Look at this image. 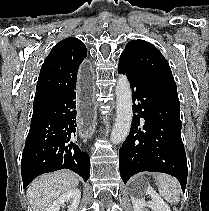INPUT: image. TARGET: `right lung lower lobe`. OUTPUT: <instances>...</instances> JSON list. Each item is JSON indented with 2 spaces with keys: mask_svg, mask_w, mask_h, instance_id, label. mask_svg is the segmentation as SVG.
<instances>
[{
  "mask_svg": "<svg viewBox=\"0 0 209 211\" xmlns=\"http://www.w3.org/2000/svg\"><path fill=\"white\" fill-rule=\"evenodd\" d=\"M75 99L74 89L33 112L21 160L24 188L35 177L64 168L89 178L90 158L75 141Z\"/></svg>",
  "mask_w": 209,
  "mask_h": 211,
  "instance_id": "1",
  "label": "right lung lower lobe"
}]
</instances>
